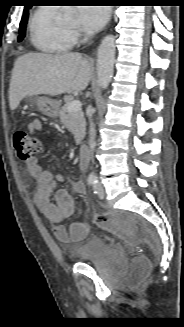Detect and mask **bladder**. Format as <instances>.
Here are the masks:
<instances>
[{"instance_id": "1", "label": "bladder", "mask_w": 184, "mask_h": 327, "mask_svg": "<svg viewBox=\"0 0 184 327\" xmlns=\"http://www.w3.org/2000/svg\"><path fill=\"white\" fill-rule=\"evenodd\" d=\"M70 250L79 262L95 264L104 257H111L117 262L119 268L127 269L129 265L124 256L101 236H93L80 244L71 246Z\"/></svg>"}]
</instances>
